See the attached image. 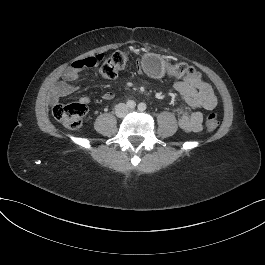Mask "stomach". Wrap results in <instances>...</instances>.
I'll list each match as a JSON object with an SVG mask.
<instances>
[{
    "label": "stomach",
    "mask_w": 265,
    "mask_h": 265,
    "mask_svg": "<svg viewBox=\"0 0 265 265\" xmlns=\"http://www.w3.org/2000/svg\"><path fill=\"white\" fill-rule=\"evenodd\" d=\"M142 67L153 78H162L165 74V61L158 54L149 53L144 55Z\"/></svg>",
    "instance_id": "1"
}]
</instances>
